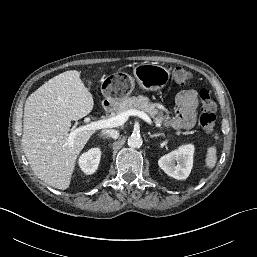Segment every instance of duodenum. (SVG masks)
I'll list each match as a JSON object with an SVG mask.
<instances>
[{"label":"duodenum","mask_w":257,"mask_h":257,"mask_svg":"<svg viewBox=\"0 0 257 257\" xmlns=\"http://www.w3.org/2000/svg\"><path fill=\"white\" fill-rule=\"evenodd\" d=\"M111 108H112V105L110 103H106L104 105V111L105 112H109L111 110Z\"/></svg>","instance_id":"obj_1"}]
</instances>
